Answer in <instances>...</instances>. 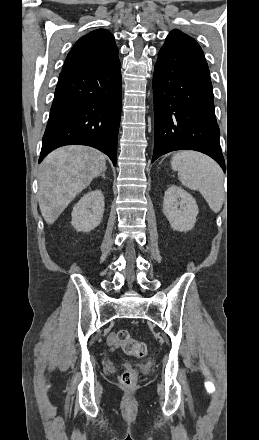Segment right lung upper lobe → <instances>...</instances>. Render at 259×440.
<instances>
[{
  "label": "right lung upper lobe",
  "mask_w": 259,
  "mask_h": 440,
  "mask_svg": "<svg viewBox=\"0 0 259 440\" xmlns=\"http://www.w3.org/2000/svg\"><path fill=\"white\" fill-rule=\"evenodd\" d=\"M116 57L118 48L113 35L106 29H97L75 43L66 57L62 72L94 68Z\"/></svg>",
  "instance_id": "cb5924a9"
}]
</instances>
